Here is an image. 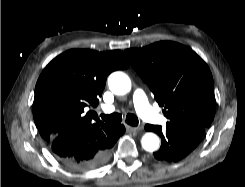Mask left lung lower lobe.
<instances>
[{"label": "left lung lower lobe", "mask_w": 245, "mask_h": 187, "mask_svg": "<svg viewBox=\"0 0 245 187\" xmlns=\"http://www.w3.org/2000/svg\"><path fill=\"white\" fill-rule=\"evenodd\" d=\"M145 130L153 131L161 137V147L154 153L158 160L177 162L192 152L201 141L205 129L198 127H171L162 129L157 125H145Z\"/></svg>", "instance_id": "left-lung-lower-lobe-1"}]
</instances>
